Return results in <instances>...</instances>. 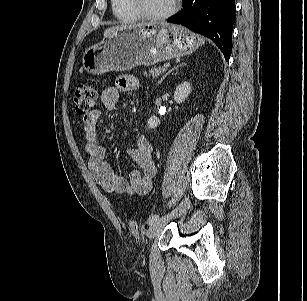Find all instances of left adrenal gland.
Returning a JSON list of instances; mask_svg holds the SVG:
<instances>
[{
  "label": "left adrenal gland",
  "mask_w": 307,
  "mask_h": 301,
  "mask_svg": "<svg viewBox=\"0 0 307 301\" xmlns=\"http://www.w3.org/2000/svg\"><path fill=\"white\" fill-rule=\"evenodd\" d=\"M184 65H186V64L183 63V64H181V65H177V66L173 67L170 71H168V72L160 79V81H159L158 83H161L162 80H163L167 75H169L172 71H174V70L177 69L178 67H181V66H184Z\"/></svg>",
  "instance_id": "left-adrenal-gland-1"
}]
</instances>
